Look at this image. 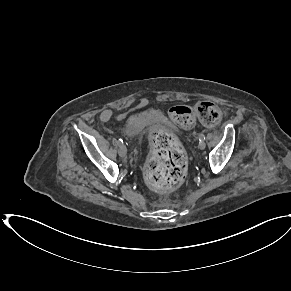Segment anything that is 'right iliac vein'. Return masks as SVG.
<instances>
[{
  "label": "right iliac vein",
  "mask_w": 291,
  "mask_h": 291,
  "mask_svg": "<svg viewBox=\"0 0 291 291\" xmlns=\"http://www.w3.org/2000/svg\"><path fill=\"white\" fill-rule=\"evenodd\" d=\"M118 153L120 155V157L125 158L127 155V148L125 145H120L119 149H118Z\"/></svg>",
  "instance_id": "obj_1"
}]
</instances>
